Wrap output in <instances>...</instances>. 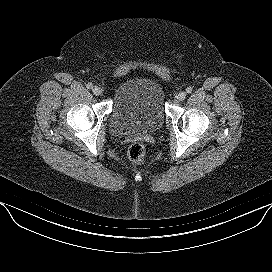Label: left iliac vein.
Returning a JSON list of instances; mask_svg holds the SVG:
<instances>
[{
    "label": "left iliac vein",
    "mask_w": 272,
    "mask_h": 272,
    "mask_svg": "<svg viewBox=\"0 0 272 272\" xmlns=\"http://www.w3.org/2000/svg\"><path fill=\"white\" fill-rule=\"evenodd\" d=\"M185 98H186V92H184V91H181L176 95V99L178 101H183V100H185Z\"/></svg>",
    "instance_id": "4c4485c4"
}]
</instances>
